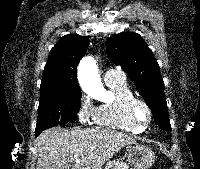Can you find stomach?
<instances>
[{"mask_svg":"<svg viewBox=\"0 0 200 169\" xmlns=\"http://www.w3.org/2000/svg\"><path fill=\"white\" fill-rule=\"evenodd\" d=\"M127 153V160L134 169H148L155 161L154 152L143 145L129 146Z\"/></svg>","mask_w":200,"mask_h":169,"instance_id":"1","label":"stomach"}]
</instances>
